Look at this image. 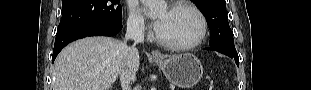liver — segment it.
I'll return each instance as SVG.
<instances>
[{
    "mask_svg": "<svg viewBox=\"0 0 311 90\" xmlns=\"http://www.w3.org/2000/svg\"><path fill=\"white\" fill-rule=\"evenodd\" d=\"M139 68L135 47L108 37H88L66 46L52 74L53 90H109L126 69Z\"/></svg>",
    "mask_w": 311,
    "mask_h": 90,
    "instance_id": "obj_1",
    "label": "liver"
}]
</instances>
